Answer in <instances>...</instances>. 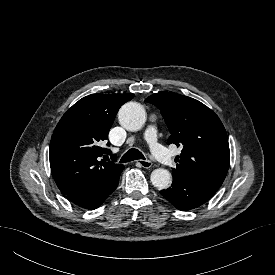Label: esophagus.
I'll use <instances>...</instances> for the list:
<instances>
[{"instance_id": "obj_1", "label": "esophagus", "mask_w": 275, "mask_h": 275, "mask_svg": "<svg viewBox=\"0 0 275 275\" xmlns=\"http://www.w3.org/2000/svg\"><path fill=\"white\" fill-rule=\"evenodd\" d=\"M138 164L143 167V168H151L152 167V162L150 160H138Z\"/></svg>"}]
</instances>
